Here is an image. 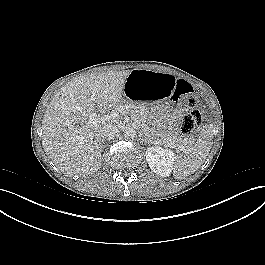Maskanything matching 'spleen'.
<instances>
[{"label":"spleen","instance_id":"3e777b00","mask_svg":"<svg viewBox=\"0 0 265 265\" xmlns=\"http://www.w3.org/2000/svg\"><path fill=\"white\" fill-rule=\"evenodd\" d=\"M213 133L210 129L204 130L195 145L189 148V155L179 156L174 162L173 175L182 179L193 174L203 164L212 146Z\"/></svg>","mask_w":265,"mask_h":265}]
</instances>
